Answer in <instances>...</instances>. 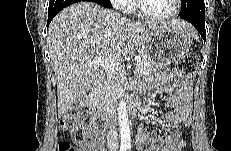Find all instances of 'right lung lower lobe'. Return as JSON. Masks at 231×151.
<instances>
[{
  "instance_id": "98d812e1",
  "label": "right lung lower lobe",
  "mask_w": 231,
  "mask_h": 151,
  "mask_svg": "<svg viewBox=\"0 0 231 151\" xmlns=\"http://www.w3.org/2000/svg\"><path fill=\"white\" fill-rule=\"evenodd\" d=\"M80 0H50L49 8H48V26L54 16L61 11L64 7H67L71 4L77 3ZM103 7L110 8L111 4L109 0H92Z\"/></svg>"
}]
</instances>
